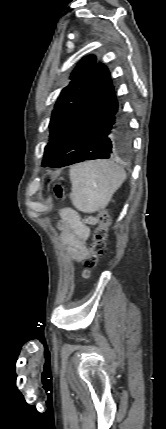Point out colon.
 Instances as JSON below:
<instances>
[{
  "label": "colon",
  "mask_w": 166,
  "mask_h": 429,
  "mask_svg": "<svg viewBox=\"0 0 166 429\" xmlns=\"http://www.w3.org/2000/svg\"><path fill=\"white\" fill-rule=\"evenodd\" d=\"M55 195L58 198L64 196V190L60 185H57L54 189ZM99 225L94 230L93 241L90 245L87 256L83 260L82 276L88 278L91 271L98 265L100 257L105 253L106 241L108 238V227L111 222V218L107 210L102 209L98 215Z\"/></svg>",
  "instance_id": "obj_1"
}]
</instances>
